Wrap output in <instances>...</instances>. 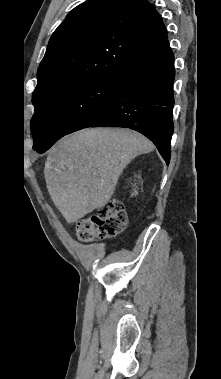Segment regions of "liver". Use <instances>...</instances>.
<instances>
[{
	"label": "liver",
	"instance_id": "6515ba94",
	"mask_svg": "<svg viewBox=\"0 0 221 379\" xmlns=\"http://www.w3.org/2000/svg\"><path fill=\"white\" fill-rule=\"evenodd\" d=\"M154 150L142 134L121 128H91L59 140L49 151L44 174L54 205L68 223L105 206L123 169Z\"/></svg>",
	"mask_w": 221,
	"mask_h": 379
}]
</instances>
